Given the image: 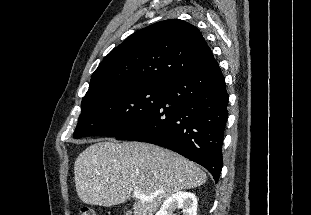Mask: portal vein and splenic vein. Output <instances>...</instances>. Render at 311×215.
Instances as JSON below:
<instances>
[{
  "label": "portal vein and splenic vein",
  "instance_id": "obj_1",
  "mask_svg": "<svg viewBox=\"0 0 311 215\" xmlns=\"http://www.w3.org/2000/svg\"><path fill=\"white\" fill-rule=\"evenodd\" d=\"M133 197L137 198V199H140V200H143V201H149L151 198L142 194L140 191L138 190H135L133 191Z\"/></svg>",
  "mask_w": 311,
  "mask_h": 215
}]
</instances>
